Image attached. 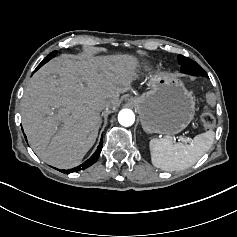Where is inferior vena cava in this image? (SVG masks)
I'll return each mask as SVG.
<instances>
[{
	"label": "inferior vena cava",
	"mask_w": 237,
	"mask_h": 237,
	"mask_svg": "<svg viewBox=\"0 0 237 237\" xmlns=\"http://www.w3.org/2000/svg\"><path fill=\"white\" fill-rule=\"evenodd\" d=\"M99 105H100V107L101 108H103V109H105V108H107V107H110V105H111V102L109 101V100H101L100 102H99Z\"/></svg>",
	"instance_id": "obj_1"
}]
</instances>
